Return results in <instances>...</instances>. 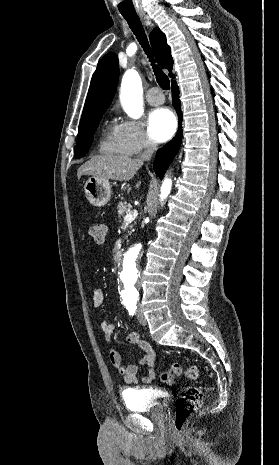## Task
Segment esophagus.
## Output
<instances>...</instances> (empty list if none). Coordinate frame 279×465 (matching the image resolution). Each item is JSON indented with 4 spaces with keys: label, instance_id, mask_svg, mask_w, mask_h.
<instances>
[{
    "label": "esophagus",
    "instance_id": "obj_1",
    "mask_svg": "<svg viewBox=\"0 0 279 465\" xmlns=\"http://www.w3.org/2000/svg\"><path fill=\"white\" fill-rule=\"evenodd\" d=\"M140 17H141V19H142L143 21H145V22L149 21L148 16H146L145 14H140Z\"/></svg>",
    "mask_w": 279,
    "mask_h": 465
}]
</instances>
